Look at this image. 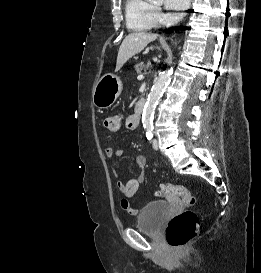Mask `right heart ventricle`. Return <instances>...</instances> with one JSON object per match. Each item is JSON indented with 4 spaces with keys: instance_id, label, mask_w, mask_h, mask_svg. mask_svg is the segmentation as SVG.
Wrapping results in <instances>:
<instances>
[{
    "instance_id": "right-heart-ventricle-1",
    "label": "right heart ventricle",
    "mask_w": 261,
    "mask_h": 273,
    "mask_svg": "<svg viewBox=\"0 0 261 273\" xmlns=\"http://www.w3.org/2000/svg\"><path fill=\"white\" fill-rule=\"evenodd\" d=\"M125 17L128 28L134 32H146L157 25L154 8L149 0H126Z\"/></svg>"
}]
</instances>
